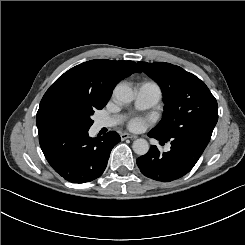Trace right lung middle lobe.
Segmentation results:
<instances>
[{"label":"right lung middle lobe","instance_id":"dd1d6c3e","mask_svg":"<svg viewBox=\"0 0 245 245\" xmlns=\"http://www.w3.org/2000/svg\"><path fill=\"white\" fill-rule=\"evenodd\" d=\"M104 105L96 104L89 99L65 98L57 102L52 110L55 129H89L93 124L91 115L95 109Z\"/></svg>","mask_w":245,"mask_h":245}]
</instances>
